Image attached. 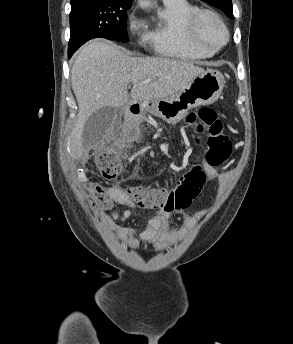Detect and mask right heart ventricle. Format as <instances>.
<instances>
[{"label":"right heart ventricle","mask_w":293,"mask_h":344,"mask_svg":"<svg viewBox=\"0 0 293 344\" xmlns=\"http://www.w3.org/2000/svg\"><path fill=\"white\" fill-rule=\"evenodd\" d=\"M198 7L189 0L163 1L157 20L145 28L143 43L162 57L202 60L214 53L193 45L186 34V23Z\"/></svg>","instance_id":"obj_1"}]
</instances>
